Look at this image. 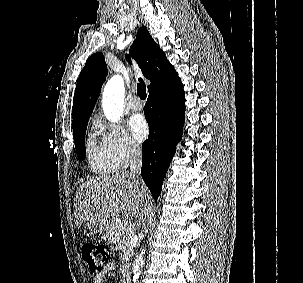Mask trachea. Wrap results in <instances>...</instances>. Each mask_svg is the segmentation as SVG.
I'll return each instance as SVG.
<instances>
[{
	"mask_svg": "<svg viewBox=\"0 0 303 283\" xmlns=\"http://www.w3.org/2000/svg\"><path fill=\"white\" fill-rule=\"evenodd\" d=\"M138 81L139 82L137 84V95L140 97V99L145 100L147 97L146 85L142 78H139Z\"/></svg>",
	"mask_w": 303,
	"mask_h": 283,
	"instance_id": "obj_1",
	"label": "trachea"
}]
</instances>
